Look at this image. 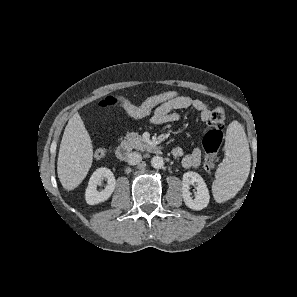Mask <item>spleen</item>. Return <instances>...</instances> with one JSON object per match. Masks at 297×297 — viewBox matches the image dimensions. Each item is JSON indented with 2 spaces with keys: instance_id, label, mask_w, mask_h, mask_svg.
<instances>
[{
  "instance_id": "1",
  "label": "spleen",
  "mask_w": 297,
  "mask_h": 297,
  "mask_svg": "<svg viewBox=\"0 0 297 297\" xmlns=\"http://www.w3.org/2000/svg\"><path fill=\"white\" fill-rule=\"evenodd\" d=\"M250 150L246 134L238 121H233L227 128L225 158L217 169L214 196L235 195L245 183L250 170Z\"/></svg>"
}]
</instances>
